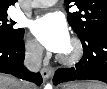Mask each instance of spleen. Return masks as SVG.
<instances>
[{
  "label": "spleen",
  "instance_id": "spleen-1",
  "mask_svg": "<svg viewBox=\"0 0 107 89\" xmlns=\"http://www.w3.org/2000/svg\"><path fill=\"white\" fill-rule=\"evenodd\" d=\"M107 88V86L106 85H98V87H96V89H106Z\"/></svg>",
  "mask_w": 107,
  "mask_h": 89
}]
</instances>
